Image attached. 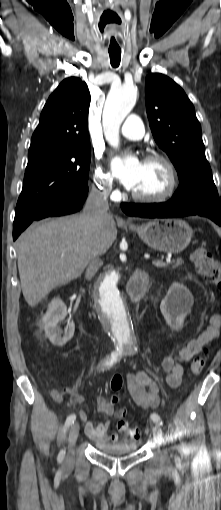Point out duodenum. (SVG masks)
<instances>
[{
  "label": "duodenum",
  "instance_id": "1",
  "mask_svg": "<svg viewBox=\"0 0 221 510\" xmlns=\"http://www.w3.org/2000/svg\"><path fill=\"white\" fill-rule=\"evenodd\" d=\"M149 276L146 271L139 270L128 284V293L133 302H138L146 293Z\"/></svg>",
  "mask_w": 221,
  "mask_h": 510
}]
</instances>
